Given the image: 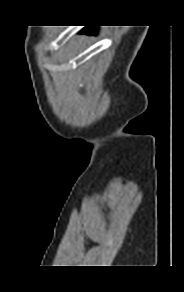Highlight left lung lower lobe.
I'll use <instances>...</instances> for the list:
<instances>
[{"label": "left lung lower lobe", "mask_w": 184, "mask_h": 292, "mask_svg": "<svg viewBox=\"0 0 184 292\" xmlns=\"http://www.w3.org/2000/svg\"><path fill=\"white\" fill-rule=\"evenodd\" d=\"M96 31V28L94 27H86L83 29L82 32H86V33H92V32H95Z\"/></svg>", "instance_id": "left-lung-lower-lobe-1"}]
</instances>
